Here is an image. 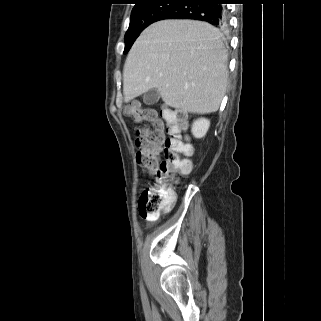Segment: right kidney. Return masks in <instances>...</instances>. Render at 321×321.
<instances>
[{"mask_svg":"<svg viewBox=\"0 0 321 321\" xmlns=\"http://www.w3.org/2000/svg\"><path fill=\"white\" fill-rule=\"evenodd\" d=\"M210 127V121L205 118L196 120L192 125V134L196 138H202L206 135Z\"/></svg>","mask_w":321,"mask_h":321,"instance_id":"right-kidney-1","label":"right kidney"}]
</instances>
